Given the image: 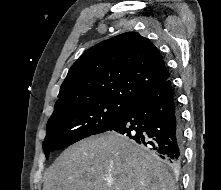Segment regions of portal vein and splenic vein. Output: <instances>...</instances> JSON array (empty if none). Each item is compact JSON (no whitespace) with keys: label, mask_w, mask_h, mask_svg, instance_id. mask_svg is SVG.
Returning <instances> with one entry per match:
<instances>
[{"label":"portal vein and splenic vein","mask_w":221,"mask_h":190,"mask_svg":"<svg viewBox=\"0 0 221 190\" xmlns=\"http://www.w3.org/2000/svg\"><path fill=\"white\" fill-rule=\"evenodd\" d=\"M106 181H107L109 184L113 183V179H112V178H108Z\"/></svg>","instance_id":"portal-vein-and-splenic-vein-1"}]
</instances>
